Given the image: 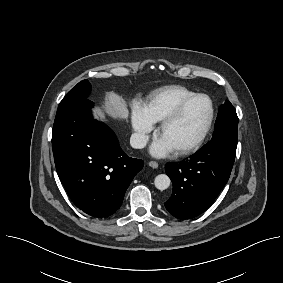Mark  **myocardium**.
Returning a JSON list of instances; mask_svg holds the SVG:
<instances>
[{
    "label": "myocardium",
    "mask_w": 283,
    "mask_h": 283,
    "mask_svg": "<svg viewBox=\"0 0 283 283\" xmlns=\"http://www.w3.org/2000/svg\"><path fill=\"white\" fill-rule=\"evenodd\" d=\"M198 98H206L209 100L210 102V106H211V111H210V116L208 119V122L204 128V130L202 131L201 135L191 144L176 149L175 153L177 155H188L191 153L196 152L205 142L208 134L211 131V128L213 126L214 123V119H215V104L214 101L212 100V98L204 93H195L192 96L184 99L166 118H164L161 121V124L158 128V134H162L170 125H172L174 122H176L180 116L182 115V113L184 112V110L187 108V106L192 103L193 101H195Z\"/></svg>",
    "instance_id": "myocardium-1"
}]
</instances>
